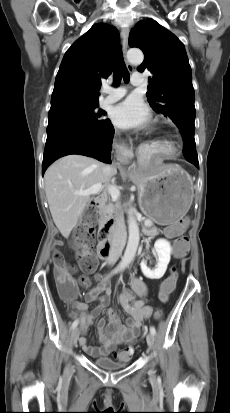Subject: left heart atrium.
Returning <instances> with one entry per match:
<instances>
[{
    "label": "left heart atrium",
    "mask_w": 230,
    "mask_h": 413,
    "mask_svg": "<svg viewBox=\"0 0 230 413\" xmlns=\"http://www.w3.org/2000/svg\"><path fill=\"white\" fill-rule=\"evenodd\" d=\"M111 119L120 129H143L149 123L150 115L140 99L131 97L113 108Z\"/></svg>",
    "instance_id": "1"
}]
</instances>
